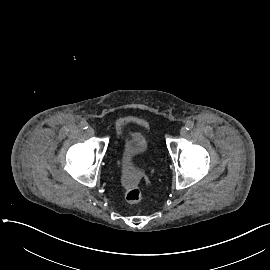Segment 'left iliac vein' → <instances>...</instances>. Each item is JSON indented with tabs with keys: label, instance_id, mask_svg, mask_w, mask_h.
Listing matches in <instances>:
<instances>
[{
	"label": "left iliac vein",
	"instance_id": "obj_1",
	"mask_svg": "<svg viewBox=\"0 0 270 270\" xmlns=\"http://www.w3.org/2000/svg\"><path fill=\"white\" fill-rule=\"evenodd\" d=\"M186 134H187V129H186V127H182V128L180 129V135H181L182 137H184Z\"/></svg>",
	"mask_w": 270,
	"mask_h": 270
}]
</instances>
